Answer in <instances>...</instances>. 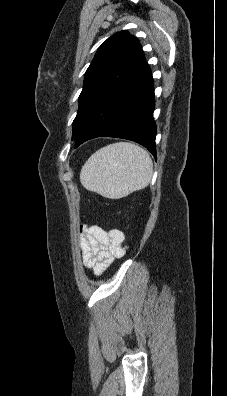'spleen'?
Listing matches in <instances>:
<instances>
[{"label":"spleen","instance_id":"spleen-1","mask_svg":"<svg viewBox=\"0 0 227 396\" xmlns=\"http://www.w3.org/2000/svg\"><path fill=\"white\" fill-rule=\"evenodd\" d=\"M152 174L153 163L146 150L117 142L99 149L86 161L80 181L89 191L119 199L147 187Z\"/></svg>","mask_w":227,"mask_h":396}]
</instances>
